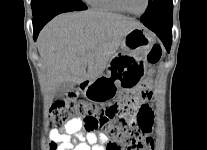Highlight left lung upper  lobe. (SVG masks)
<instances>
[{
    "mask_svg": "<svg viewBox=\"0 0 207 150\" xmlns=\"http://www.w3.org/2000/svg\"><path fill=\"white\" fill-rule=\"evenodd\" d=\"M172 0H149L146 12L141 16V22L158 21L172 17Z\"/></svg>",
    "mask_w": 207,
    "mask_h": 150,
    "instance_id": "5c2ea615",
    "label": "left lung upper lobe"
}]
</instances>
